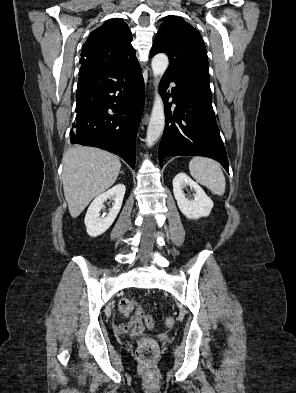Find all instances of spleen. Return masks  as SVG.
<instances>
[{"label": "spleen", "instance_id": "1", "mask_svg": "<svg viewBox=\"0 0 296 393\" xmlns=\"http://www.w3.org/2000/svg\"><path fill=\"white\" fill-rule=\"evenodd\" d=\"M189 170L191 176L212 193L219 196L224 194L226 181L219 163L205 157H194L189 162Z\"/></svg>", "mask_w": 296, "mask_h": 393}]
</instances>
